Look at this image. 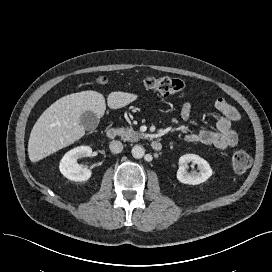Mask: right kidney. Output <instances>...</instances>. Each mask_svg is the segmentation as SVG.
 Wrapping results in <instances>:
<instances>
[{
	"instance_id": "obj_1",
	"label": "right kidney",
	"mask_w": 272,
	"mask_h": 272,
	"mask_svg": "<svg viewBox=\"0 0 272 272\" xmlns=\"http://www.w3.org/2000/svg\"><path fill=\"white\" fill-rule=\"evenodd\" d=\"M92 154V149L89 146H79L68 151L60 161V172L69 180L72 181H86L91 175L92 171L88 168H83L77 163V159L81 157H89Z\"/></svg>"
}]
</instances>
